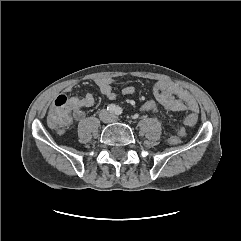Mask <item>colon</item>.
<instances>
[{"mask_svg": "<svg viewBox=\"0 0 241 241\" xmlns=\"http://www.w3.org/2000/svg\"><path fill=\"white\" fill-rule=\"evenodd\" d=\"M79 107L73 105L66 95H59L53 102L47 117L48 125L61 131L71 123L72 115L78 111ZM141 110L147 114L159 117V108L155 101L146 100L141 105ZM198 121L196 114H190L184 119V125L191 127ZM186 131L182 128L177 129L176 134L169 138V142L172 145L181 143L182 138L185 136Z\"/></svg>", "mask_w": 241, "mask_h": 241, "instance_id": "5ec220e1", "label": "colon"}]
</instances>
